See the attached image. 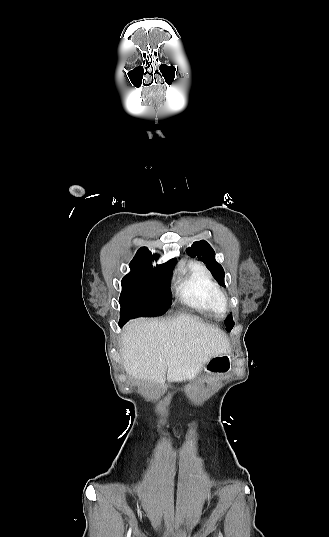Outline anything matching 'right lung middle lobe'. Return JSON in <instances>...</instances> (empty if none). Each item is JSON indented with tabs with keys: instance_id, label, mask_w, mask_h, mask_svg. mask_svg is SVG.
<instances>
[{
	"instance_id": "dd1d6c3e",
	"label": "right lung middle lobe",
	"mask_w": 329,
	"mask_h": 537,
	"mask_svg": "<svg viewBox=\"0 0 329 537\" xmlns=\"http://www.w3.org/2000/svg\"><path fill=\"white\" fill-rule=\"evenodd\" d=\"M173 268L152 266L133 269L122 280L119 325L131 318L163 315L171 303L170 276Z\"/></svg>"
}]
</instances>
